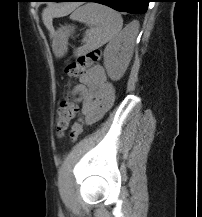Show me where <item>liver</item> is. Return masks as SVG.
<instances>
[{
	"label": "liver",
	"mask_w": 202,
	"mask_h": 217,
	"mask_svg": "<svg viewBox=\"0 0 202 217\" xmlns=\"http://www.w3.org/2000/svg\"><path fill=\"white\" fill-rule=\"evenodd\" d=\"M75 8L73 4L55 5L43 10L42 19L45 26L51 30L52 29V18L62 17L68 15Z\"/></svg>",
	"instance_id": "obj_1"
}]
</instances>
